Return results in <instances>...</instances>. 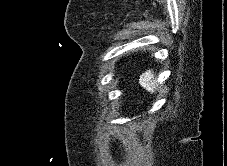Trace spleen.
Here are the masks:
<instances>
[{"instance_id": "3e777b00", "label": "spleen", "mask_w": 227, "mask_h": 166, "mask_svg": "<svg viewBox=\"0 0 227 166\" xmlns=\"http://www.w3.org/2000/svg\"><path fill=\"white\" fill-rule=\"evenodd\" d=\"M140 85L145 88L148 92L153 93L156 89V84L154 80V74L151 70H147L140 76L139 79Z\"/></svg>"}]
</instances>
